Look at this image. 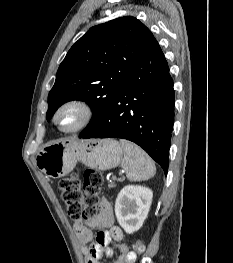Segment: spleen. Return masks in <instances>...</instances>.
Segmentation results:
<instances>
[{
	"label": "spleen",
	"mask_w": 233,
	"mask_h": 263,
	"mask_svg": "<svg viewBox=\"0 0 233 263\" xmlns=\"http://www.w3.org/2000/svg\"><path fill=\"white\" fill-rule=\"evenodd\" d=\"M124 149L121 166L130 181L147 180L155 175L156 167L148 154L137 145L120 140Z\"/></svg>",
	"instance_id": "obj_1"
}]
</instances>
